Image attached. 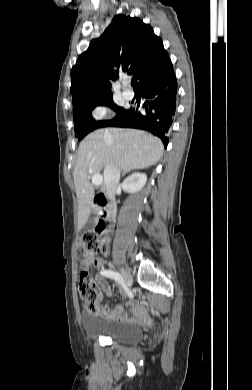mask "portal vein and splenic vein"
Wrapping results in <instances>:
<instances>
[{"mask_svg": "<svg viewBox=\"0 0 252 390\" xmlns=\"http://www.w3.org/2000/svg\"><path fill=\"white\" fill-rule=\"evenodd\" d=\"M89 173L92 174L93 171L92 170H89ZM103 182V177L100 175V174H94L92 176V183L95 185V186H100Z\"/></svg>", "mask_w": 252, "mask_h": 390, "instance_id": "1", "label": "portal vein and splenic vein"}]
</instances>
